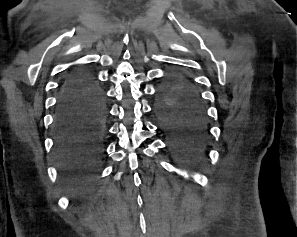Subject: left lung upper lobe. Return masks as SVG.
Segmentation results:
<instances>
[{
    "label": "left lung upper lobe",
    "instance_id": "left-lung-upper-lobe-1",
    "mask_svg": "<svg viewBox=\"0 0 297 237\" xmlns=\"http://www.w3.org/2000/svg\"><path fill=\"white\" fill-rule=\"evenodd\" d=\"M184 101H197L203 106L201 96L192 82L180 74H174L161 88L158 104L173 105Z\"/></svg>",
    "mask_w": 297,
    "mask_h": 237
}]
</instances>
